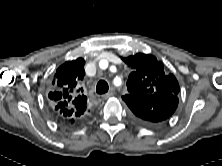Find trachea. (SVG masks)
Here are the masks:
<instances>
[{"label":"trachea","instance_id":"obj_1","mask_svg":"<svg viewBox=\"0 0 222 166\" xmlns=\"http://www.w3.org/2000/svg\"><path fill=\"white\" fill-rule=\"evenodd\" d=\"M109 90V86H108V83L104 80H100L98 83H97V86H96V92L98 94H105L107 93Z\"/></svg>","mask_w":222,"mask_h":166}]
</instances>
